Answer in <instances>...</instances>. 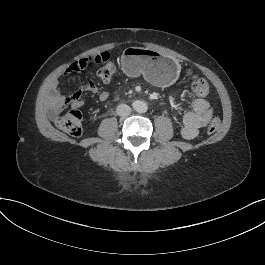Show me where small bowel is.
Segmentation results:
<instances>
[{"label": "small bowel", "mask_w": 265, "mask_h": 265, "mask_svg": "<svg viewBox=\"0 0 265 265\" xmlns=\"http://www.w3.org/2000/svg\"><path fill=\"white\" fill-rule=\"evenodd\" d=\"M87 91L95 95L100 101H106L109 98V93L100 89L93 81L85 82L77 91L70 96H65L59 89V84L56 82L52 88L49 99V108L51 115H55L58 111L67 106L79 108L83 105L80 99L82 92ZM175 109L174 112H177ZM213 116V109L210 103L203 98H197L193 101L192 107L189 110L182 111V126L181 134L186 139L195 138L199 131L204 128Z\"/></svg>", "instance_id": "c3829d8e"}]
</instances>
